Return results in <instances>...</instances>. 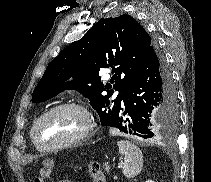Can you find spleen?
I'll list each match as a JSON object with an SVG mask.
<instances>
[{"mask_svg": "<svg viewBox=\"0 0 211 182\" xmlns=\"http://www.w3.org/2000/svg\"><path fill=\"white\" fill-rule=\"evenodd\" d=\"M119 153L124 156L123 174L126 178H134L139 175L143 168L142 151L127 140L117 142Z\"/></svg>", "mask_w": 211, "mask_h": 182, "instance_id": "3e777b00", "label": "spleen"}]
</instances>
